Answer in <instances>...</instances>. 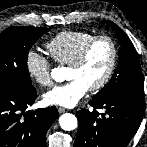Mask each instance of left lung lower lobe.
<instances>
[{
	"instance_id": "1",
	"label": "left lung lower lobe",
	"mask_w": 147,
	"mask_h": 147,
	"mask_svg": "<svg viewBox=\"0 0 147 147\" xmlns=\"http://www.w3.org/2000/svg\"><path fill=\"white\" fill-rule=\"evenodd\" d=\"M93 111H77L79 127L74 147H127L142 121L144 99L121 95L91 100ZM97 109H103L99 113Z\"/></svg>"
}]
</instances>
